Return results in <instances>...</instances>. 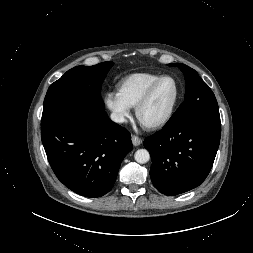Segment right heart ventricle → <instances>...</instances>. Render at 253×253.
Returning a JSON list of instances; mask_svg holds the SVG:
<instances>
[{
	"mask_svg": "<svg viewBox=\"0 0 253 253\" xmlns=\"http://www.w3.org/2000/svg\"><path fill=\"white\" fill-rule=\"evenodd\" d=\"M162 75L149 72L133 73L116 85V95L129 108H134L146 90Z\"/></svg>",
	"mask_w": 253,
	"mask_h": 253,
	"instance_id": "1",
	"label": "right heart ventricle"
}]
</instances>
